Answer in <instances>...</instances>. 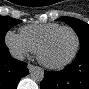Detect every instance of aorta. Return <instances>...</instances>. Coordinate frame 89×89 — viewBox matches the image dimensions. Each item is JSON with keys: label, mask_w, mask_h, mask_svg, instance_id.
Masks as SVG:
<instances>
[{"label": "aorta", "mask_w": 89, "mask_h": 89, "mask_svg": "<svg viewBox=\"0 0 89 89\" xmlns=\"http://www.w3.org/2000/svg\"><path fill=\"white\" fill-rule=\"evenodd\" d=\"M30 77L35 82H41L44 79V70L41 67L34 66L30 70Z\"/></svg>", "instance_id": "obj_1"}]
</instances>
